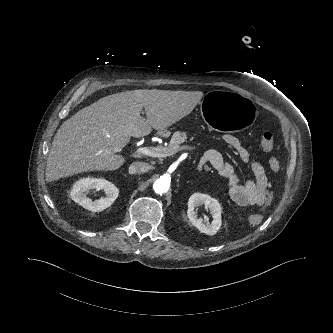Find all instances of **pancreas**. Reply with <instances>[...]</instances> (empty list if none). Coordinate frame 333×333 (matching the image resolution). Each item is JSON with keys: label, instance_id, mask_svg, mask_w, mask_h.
<instances>
[{"label": "pancreas", "instance_id": "obj_1", "mask_svg": "<svg viewBox=\"0 0 333 333\" xmlns=\"http://www.w3.org/2000/svg\"><path fill=\"white\" fill-rule=\"evenodd\" d=\"M186 139L187 135L185 132L177 131L172 135L169 145L166 148L169 150H174L176 153L179 150V145L185 142Z\"/></svg>", "mask_w": 333, "mask_h": 333}]
</instances>
